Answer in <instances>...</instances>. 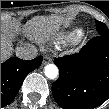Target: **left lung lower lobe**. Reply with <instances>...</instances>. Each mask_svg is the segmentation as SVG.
<instances>
[{
  "instance_id": "0a47b994",
  "label": "left lung lower lobe",
  "mask_w": 109,
  "mask_h": 109,
  "mask_svg": "<svg viewBox=\"0 0 109 109\" xmlns=\"http://www.w3.org/2000/svg\"><path fill=\"white\" fill-rule=\"evenodd\" d=\"M52 94L63 109H93L109 98V36L99 35L74 55L56 58Z\"/></svg>"
}]
</instances>
